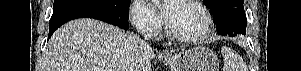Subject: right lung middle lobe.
I'll use <instances>...</instances> for the list:
<instances>
[{
	"label": "right lung middle lobe",
	"instance_id": "dd1d6c3e",
	"mask_svg": "<svg viewBox=\"0 0 301 71\" xmlns=\"http://www.w3.org/2000/svg\"><path fill=\"white\" fill-rule=\"evenodd\" d=\"M74 3H90L126 10L129 7L130 0H54L53 9Z\"/></svg>",
	"mask_w": 301,
	"mask_h": 71
}]
</instances>
